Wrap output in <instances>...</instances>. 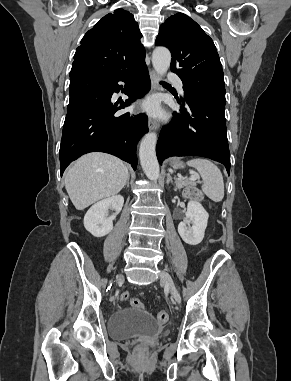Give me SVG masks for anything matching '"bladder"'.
<instances>
[{
    "instance_id": "bladder-1",
    "label": "bladder",
    "mask_w": 291,
    "mask_h": 381,
    "mask_svg": "<svg viewBox=\"0 0 291 381\" xmlns=\"http://www.w3.org/2000/svg\"><path fill=\"white\" fill-rule=\"evenodd\" d=\"M163 331L164 326L142 308H120L109 315L108 333L112 339L155 336Z\"/></svg>"
}]
</instances>
